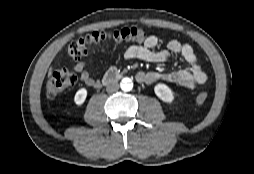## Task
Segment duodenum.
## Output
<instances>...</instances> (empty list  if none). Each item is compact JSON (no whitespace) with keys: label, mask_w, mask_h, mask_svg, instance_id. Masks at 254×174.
<instances>
[{"label":"duodenum","mask_w":254,"mask_h":174,"mask_svg":"<svg viewBox=\"0 0 254 174\" xmlns=\"http://www.w3.org/2000/svg\"><path fill=\"white\" fill-rule=\"evenodd\" d=\"M121 78V74L117 69H111L109 70L104 78H103V85H109L117 80H119Z\"/></svg>","instance_id":"duodenum-1"}]
</instances>
